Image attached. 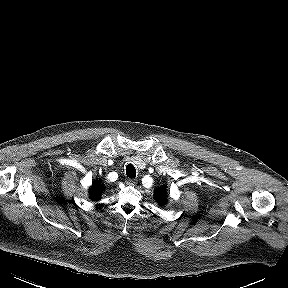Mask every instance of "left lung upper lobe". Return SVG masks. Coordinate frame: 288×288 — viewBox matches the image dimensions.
I'll list each match as a JSON object with an SVG mask.
<instances>
[{"label": "left lung upper lobe", "instance_id": "5c2ea615", "mask_svg": "<svg viewBox=\"0 0 288 288\" xmlns=\"http://www.w3.org/2000/svg\"><path fill=\"white\" fill-rule=\"evenodd\" d=\"M165 190L163 189V188H161V189H156L155 191H154V196H155V199L157 200V201H159V204H161V205H164L165 203Z\"/></svg>", "mask_w": 288, "mask_h": 288}]
</instances>
